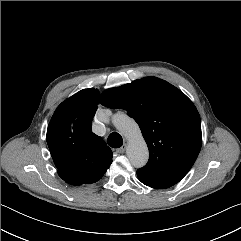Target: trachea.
Wrapping results in <instances>:
<instances>
[{"instance_id":"3493384b","label":"trachea","mask_w":241,"mask_h":241,"mask_svg":"<svg viewBox=\"0 0 241 241\" xmlns=\"http://www.w3.org/2000/svg\"><path fill=\"white\" fill-rule=\"evenodd\" d=\"M107 142L110 147L119 148L123 144V139L119 133L113 132L109 135Z\"/></svg>"}]
</instances>
